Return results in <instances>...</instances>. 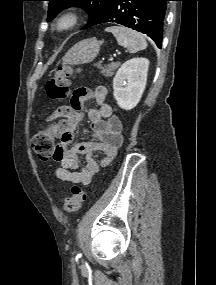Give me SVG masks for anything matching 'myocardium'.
Returning <instances> with one entry per match:
<instances>
[{
	"label": "myocardium",
	"instance_id": "myocardium-1",
	"mask_svg": "<svg viewBox=\"0 0 216 285\" xmlns=\"http://www.w3.org/2000/svg\"><path fill=\"white\" fill-rule=\"evenodd\" d=\"M80 21V15L76 10L67 9L59 13L52 24V30L59 35H64L74 30Z\"/></svg>",
	"mask_w": 216,
	"mask_h": 285
}]
</instances>
